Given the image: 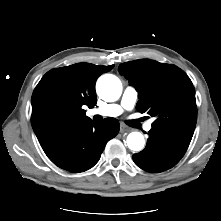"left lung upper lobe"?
Returning <instances> with one entry per match:
<instances>
[{"mask_svg":"<svg viewBox=\"0 0 221 221\" xmlns=\"http://www.w3.org/2000/svg\"><path fill=\"white\" fill-rule=\"evenodd\" d=\"M118 71L139 92L137 111L156 118L152 129L191 141L197 121L195 89L183 70L141 59L120 64Z\"/></svg>","mask_w":221,"mask_h":221,"instance_id":"left-lung-upper-lobe-1","label":"left lung upper lobe"}]
</instances>
